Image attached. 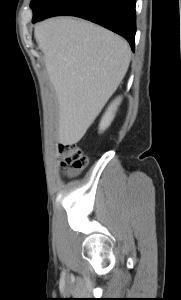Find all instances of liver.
Instances as JSON below:
<instances>
[{
	"mask_svg": "<svg viewBox=\"0 0 181 300\" xmlns=\"http://www.w3.org/2000/svg\"><path fill=\"white\" fill-rule=\"evenodd\" d=\"M59 104L58 142H79L128 70L125 39L93 23L68 17L35 27Z\"/></svg>",
	"mask_w": 181,
	"mask_h": 300,
	"instance_id": "1",
	"label": "liver"
}]
</instances>
